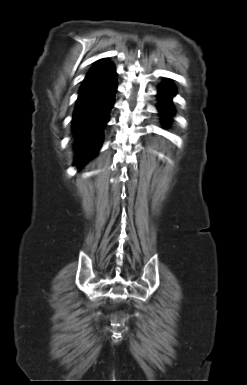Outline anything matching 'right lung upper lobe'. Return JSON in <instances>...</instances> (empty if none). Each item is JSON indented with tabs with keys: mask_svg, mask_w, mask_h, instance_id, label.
Masks as SVG:
<instances>
[{
	"mask_svg": "<svg viewBox=\"0 0 247 385\" xmlns=\"http://www.w3.org/2000/svg\"><path fill=\"white\" fill-rule=\"evenodd\" d=\"M108 61L106 60V59H101V60H99V61H97L96 63H95V65L92 67V69L93 68H96V67H98V66H100V65H103V64H105V63H107Z\"/></svg>",
	"mask_w": 247,
	"mask_h": 385,
	"instance_id": "cb5924a9",
	"label": "right lung upper lobe"
}]
</instances>
